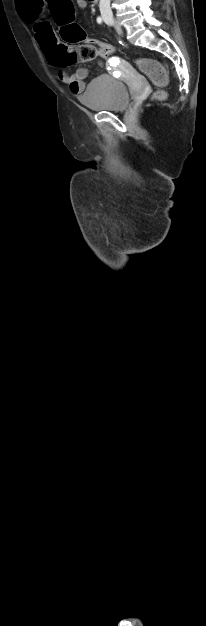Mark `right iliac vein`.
I'll return each mask as SVG.
<instances>
[{
  "label": "right iliac vein",
  "mask_w": 206,
  "mask_h": 626,
  "mask_svg": "<svg viewBox=\"0 0 206 626\" xmlns=\"http://www.w3.org/2000/svg\"><path fill=\"white\" fill-rule=\"evenodd\" d=\"M105 21H106L107 23H109V24L114 25V26H115V28L117 29V31H118V32H122V29H121L120 25L117 23V21H116L114 18H112V17H106V18H105Z\"/></svg>",
  "instance_id": "obj_1"
}]
</instances>
